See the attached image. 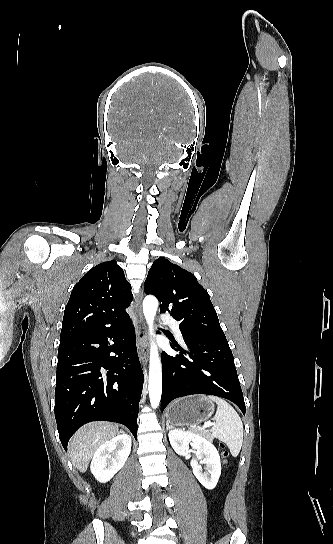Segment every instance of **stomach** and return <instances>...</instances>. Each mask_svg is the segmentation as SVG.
Returning a JSON list of instances; mask_svg holds the SVG:
<instances>
[{"label": "stomach", "instance_id": "1", "mask_svg": "<svg viewBox=\"0 0 333 544\" xmlns=\"http://www.w3.org/2000/svg\"><path fill=\"white\" fill-rule=\"evenodd\" d=\"M215 409L207 396L196 395L174 401L167 409V419L173 425H195L211 417Z\"/></svg>", "mask_w": 333, "mask_h": 544}]
</instances>
